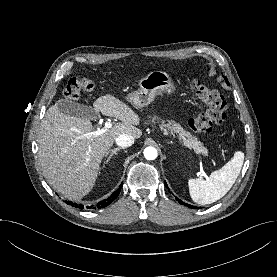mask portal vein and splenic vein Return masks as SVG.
Returning <instances> with one entry per match:
<instances>
[{
    "instance_id": "18ae733b",
    "label": "portal vein and splenic vein",
    "mask_w": 277,
    "mask_h": 277,
    "mask_svg": "<svg viewBox=\"0 0 277 277\" xmlns=\"http://www.w3.org/2000/svg\"><path fill=\"white\" fill-rule=\"evenodd\" d=\"M112 127V124L110 121H106L105 122V128L103 129H98L97 131H93V132H89V133H86L84 136L86 138H92V137H96L100 134H102L103 132H105L106 130L110 129ZM204 177H206V175H204Z\"/></svg>"
}]
</instances>
